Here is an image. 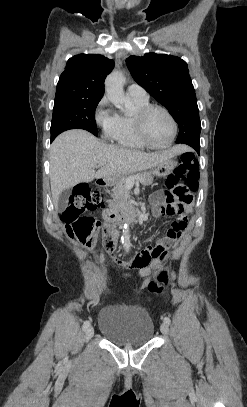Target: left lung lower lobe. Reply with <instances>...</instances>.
Returning <instances> with one entry per match:
<instances>
[{
  "instance_id": "left-lung-lower-lobe-1",
  "label": "left lung lower lobe",
  "mask_w": 247,
  "mask_h": 407,
  "mask_svg": "<svg viewBox=\"0 0 247 407\" xmlns=\"http://www.w3.org/2000/svg\"><path fill=\"white\" fill-rule=\"evenodd\" d=\"M185 144L191 146L196 150V152L199 154L200 153V142L199 140L196 141H187Z\"/></svg>"
}]
</instances>
